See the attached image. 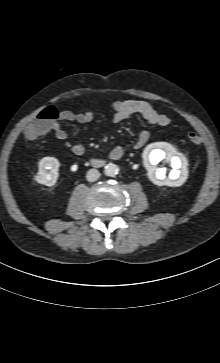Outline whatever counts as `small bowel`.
I'll use <instances>...</instances> for the list:
<instances>
[{"instance_id":"1","label":"small bowel","mask_w":220,"mask_h":363,"mask_svg":"<svg viewBox=\"0 0 220 363\" xmlns=\"http://www.w3.org/2000/svg\"><path fill=\"white\" fill-rule=\"evenodd\" d=\"M113 116L112 121L119 123L132 115L141 116L148 124L164 128L169 125L170 119L166 115L158 113L151 105L140 100H119L113 104ZM93 120V112L86 110L83 112H72L64 110L60 112L59 119L53 123L52 130L55 136L59 140H66L67 133L61 128L60 121H72L77 123H89ZM150 133L146 130L142 131L135 143L134 149L142 148L149 140ZM72 151L76 155H82L85 151L84 146L80 143H76L72 147ZM123 153L121 147H115L110 152V157L113 159H119Z\"/></svg>"}]
</instances>
